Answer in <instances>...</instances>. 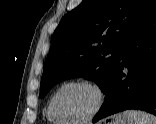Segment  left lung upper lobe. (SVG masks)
<instances>
[{
  "instance_id": "left-lung-upper-lobe-1",
  "label": "left lung upper lobe",
  "mask_w": 156,
  "mask_h": 124,
  "mask_svg": "<svg viewBox=\"0 0 156 124\" xmlns=\"http://www.w3.org/2000/svg\"><path fill=\"white\" fill-rule=\"evenodd\" d=\"M156 0H83L56 28L40 97L61 79L84 77L105 93L120 55Z\"/></svg>"
}]
</instances>
